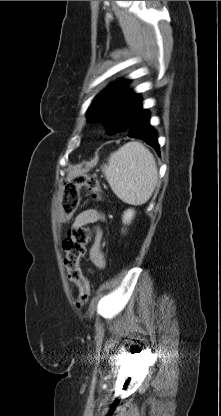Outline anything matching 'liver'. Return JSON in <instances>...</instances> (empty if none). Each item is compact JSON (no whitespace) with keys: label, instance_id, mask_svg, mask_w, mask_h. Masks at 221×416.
Masks as SVG:
<instances>
[{"label":"liver","instance_id":"obj_1","mask_svg":"<svg viewBox=\"0 0 221 416\" xmlns=\"http://www.w3.org/2000/svg\"><path fill=\"white\" fill-rule=\"evenodd\" d=\"M85 171H86V169H83V170L73 169L68 173V178H72L73 176L84 173Z\"/></svg>","mask_w":221,"mask_h":416}]
</instances>
